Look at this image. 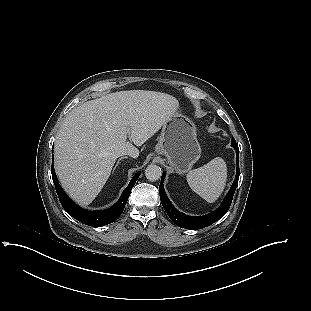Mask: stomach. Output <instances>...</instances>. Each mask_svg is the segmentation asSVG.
<instances>
[{"instance_id": "1", "label": "stomach", "mask_w": 311, "mask_h": 311, "mask_svg": "<svg viewBox=\"0 0 311 311\" xmlns=\"http://www.w3.org/2000/svg\"><path fill=\"white\" fill-rule=\"evenodd\" d=\"M155 152L164 155L177 173L188 172L201 154L193 122L176 111L164 123Z\"/></svg>"}]
</instances>
